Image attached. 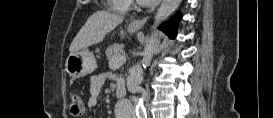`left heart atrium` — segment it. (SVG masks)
I'll return each mask as SVG.
<instances>
[{
	"instance_id": "1",
	"label": "left heart atrium",
	"mask_w": 273,
	"mask_h": 118,
	"mask_svg": "<svg viewBox=\"0 0 273 118\" xmlns=\"http://www.w3.org/2000/svg\"><path fill=\"white\" fill-rule=\"evenodd\" d=\"M159 0H140V3L144 5H152L158 3Z\"/></svg>"
}]
</instances>
